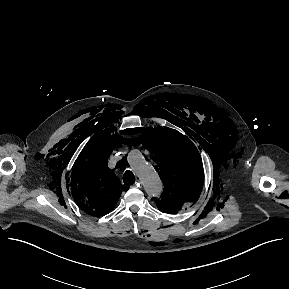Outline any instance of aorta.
<instances>
[{
	"instance_id": "obj_1",
	"label": "aorta",
	"mask_w": 289,
	"mask_h": 289,
	"mask_svg": "<svg viewBox=\"0 0 289 289\" xmlns=\"http://www.w3.org/2000/svg\"><path fill=\"white\" fill-rule=\"evenodd\" d=\"M127 160L138 175L145 192L152 197L159 196L163 189L162 182L153 166L146 162L141 152L132 151Z\"/></svg>"
}]
</instances>
